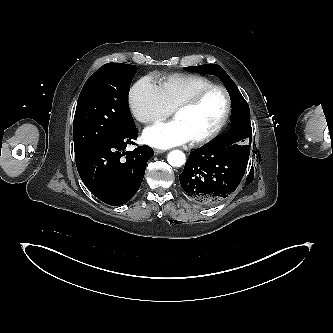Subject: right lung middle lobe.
I'll use <instances>...</instances> for the list:
<instances>
[{
    "label": "right lung middle lobe",
    "instance_id": "1",
    "mask_svg": "<svg viewBox=\"0 0 333 333\" xmlns=\"http://www.w3.org/2000/svg\"><path fill=\"white\" fill-rule=\"evenodd\" d=\"M136 69L135 65L107 63L84 84L74 116L75 156L121 136L134 125L128 94Z\"/></svg>",
    "mask_w": 333,
    "mask_h": 333
}]
</instances>
